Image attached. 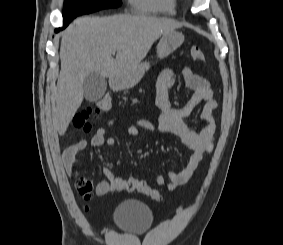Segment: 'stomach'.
<instances>
[{
    "label": "stomach",
    "instance_id": "obj_1",
    "mask_svg": "<svg viewBox=\"0 0 283 245\" xmlns=\"http://www.w3.org/2000/svg\"><path fill=\"white\" fill-rule=\"evenodd\" d=\"M184 42V35L177 31L163 34L157 45V56L160 59L167 57ZM148 62H142L125 73L112 78L114 87L117 89H129L139 83L145 72L149 69Z\"/></svg>",
    "mask_w": 283,
    "mask_h": 245
}]
</instances>
